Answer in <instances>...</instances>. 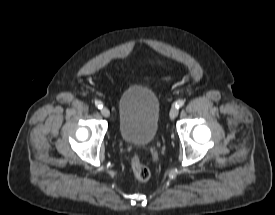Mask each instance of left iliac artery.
Instances as JSON below:
<instances>
[{"instance_id": "left-iliac-artery-1", "label": "left iliac artery", "mask_w": 275, "mask_h": 215, "mask_svg": "<svg viewBox=\"0 0 275 215\" xmlns=\"http://www.w3.org/2000/svg\"><path fill=\"white\" fill-rule=\"evenodd\" d=\"M184 101L183 100H179V101H177L176 103H175V107L176 108H180V107H182L183 105H184Z\"/></svg>"}]
</instances>
